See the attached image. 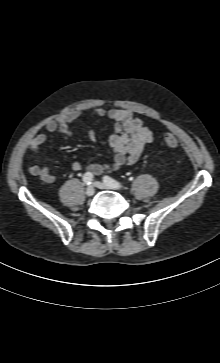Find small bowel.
<instances>
[{
	"instance_id": "1",
	"label": "small bowel",
	"mask_w": 220,
	"mask_h": 363,
	"mask_svg": "<svg viewBox=\"0 0 220 363\" xmlns=\"http://www.w3.org/2000/svg\"><path fill=\"white\" fill-rule=\"evenodd\" d=\"M93 114L97 117L107 116L114 122V134L109 137V145L114 151V158L111 163L106 164H88L83 166L80 162H74L72 169L80 171L86 169L90 173L100 174L102 172L116 171L125 165L136 163L145 146L154 139L153 132L145 127L143 120L134 116L129 110L96 108ZM81 115V111L74 110L59 120H50L44 131L38 133L29 141V147L35 155L42 154V145L47 141L48 134L59 132L65 136H71L69 124ZM88 137L94 141L95 134L93 130L88 131ZM48 161L53 160L51 157L46 158ZM29 172L40 177L45 183H53L55 176L48 167L31 164L28 167Z\"/></svg>"
}]
</instances>
